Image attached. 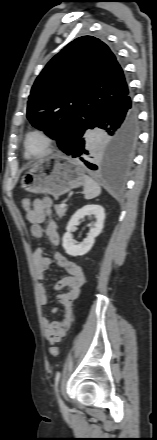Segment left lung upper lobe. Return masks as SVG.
<instances>
[{
	"mask_svg": "<svg viewBox=\"0 0 157 440\" xmlns=\"http://www.w3.org/2000/svg\"><path fill=\"white\" fill-rule=\"evenodd\" d=\"M128 90L123 70L109 47L98 38L82 36L54 56L37 77L27 118L66 153L99 111Z\"/></svg>",
	"mask_w": 157,
	"mask_h": 440,
	"instance_id": "5c2ea615",
	"label": "left lung upper lobe"
}]
</instances>
